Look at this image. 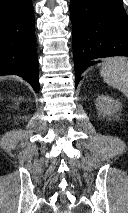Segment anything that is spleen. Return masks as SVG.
<instances>
[{"label":"spleen","instance_id":"spleen-1","mask_svg":"<svg viewBox=\"0 0 128 213\" xmlns=\"http://www.w3.org/2000/svg\"><path fill=\"white\" fill-rule=\"evenodd\" d=\"M100 75L105 83L117 88L128 98V60L126 58L106 59L102 63Z\"/></svg>","mask_w":128,"mask_h":213}]
</instances>
